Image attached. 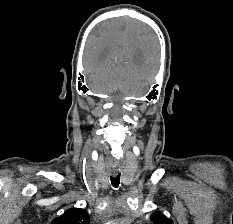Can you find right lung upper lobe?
I'll return each instance as SVG.
<instances>
[{
	"label": "right lung upper lobe",
	"instance_id": "right-lung-upper-lobe-1",
	"mask_svg": "<svg viewBox=\"0 0 233 224\" xmlns=\"http://www.w3.org/2000/svg\"><path fill=\"white\" fill-rule=\"evenodd\" d=\"M51 224H90V219L84 209L74 208L55 218Z\"/></svg>",
	"mask_w": 233,
	"mask_h": 224
}]
</instances>
